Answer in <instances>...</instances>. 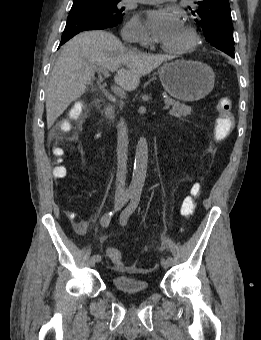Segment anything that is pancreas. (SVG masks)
Instances as JSON below:
<instances>
[{"instance_id":"cf45deb5","label":"pancreas","mask_w":261,"mask_h":340,"mask_svg":"<svg viewBox=\"0 0 261 340\" xmlns=\"http://www.w3.org/2000/svg\"><path fill=\"white\" fill-rule=\"evenodd\" d=\"M165 104L172 105V109L169 110V114L171 116L180 118L182 116L186 117L188 115H191L192 108L190 106L181 104L180 102L175 101L171 98H166Z\"/></svg>"}]
</instances>
